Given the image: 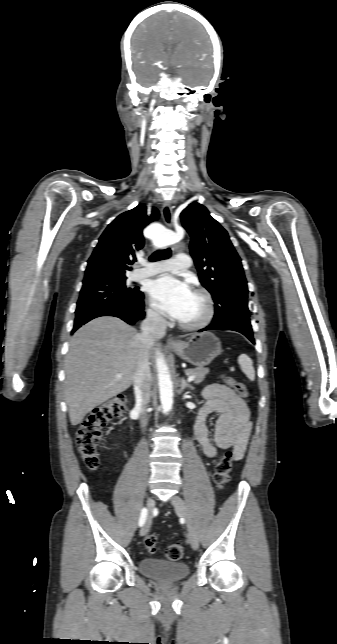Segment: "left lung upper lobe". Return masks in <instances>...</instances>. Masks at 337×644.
<instances>
[{"instance_id":"obj_1","label":"left lung upper lobe","mask_w":337,"mask_h":644,"mask_svg":"<svg viewBox=\"0 0 337 644\" xmlns=\"http://www.w3.org/2000/svg\"><path fill=\"white\" fill-rule=\"evenodd\" d=\"M180 216L191 237L190 253L200 282L212 294L215 303L212 323L229 324L252 332L247 281L227 231L199 203H191Z\"/></svg>"}]
</instances>
